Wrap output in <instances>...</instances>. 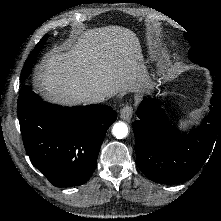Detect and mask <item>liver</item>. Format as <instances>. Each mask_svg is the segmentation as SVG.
<instances>
[{
  "label": "liver",
  "mask_w": 221,
  "mask_h": 221,
  "mask_svg": "<svg viewBox=\"0 0 221 221\" xmlns=\"http://www.w3.org/2000/svg\"><path fill=\"white\" fill-rule=\"evenodd\" d=\"M147 80L139 40L120 26L82 32L64 52L46 54L33 79L45 98L63 105L89 103V94L135 90Z\"/></svg>",
  "instance_id": "6515ba94"
}]
</instances>
